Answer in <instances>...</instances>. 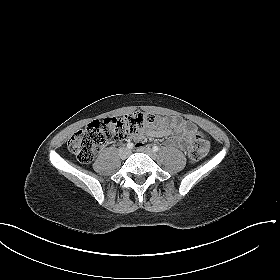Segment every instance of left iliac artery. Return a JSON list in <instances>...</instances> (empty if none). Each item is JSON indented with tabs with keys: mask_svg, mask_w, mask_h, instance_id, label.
I'll return each mask as SVG.
<instances>
[{
	"mask_svg": "<svg viewBox=\"0 0 280 280\" xmlns=\"http://www.w3.org/2000/svg\"><path fill=\"white\" fill-rule=\"evenodd\" d=\"M152 150H153L154 152H158L159 147H158V146H153Z\"/></svg>",
	"mask_w": 280,
	"mask_h": 280,
	"instance_id": "1",
	"label": "left iliac artery"
}]
</instances>
